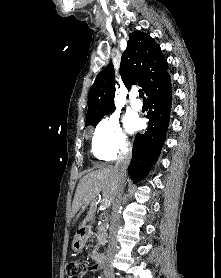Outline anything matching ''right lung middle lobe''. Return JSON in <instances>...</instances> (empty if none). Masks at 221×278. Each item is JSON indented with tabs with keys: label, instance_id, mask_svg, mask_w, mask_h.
<instances>
[{
	"label": "right lung middle lobe",
	"instance_id": "obj_1",
	"mask_svg": "<svg viewBox=\"0 0 221 278\" xmlns=\"http://www.w3.org/2000/svg\"><path fill=\"white\" fill-rule=\"evenodd\" d=\"M100 120H98L96 123L94 124H85L86 126H89V125H92V126H95Z\"/></svg>",
	"mask_w": 221,
	"mask_h": 278
}]
</instances>
